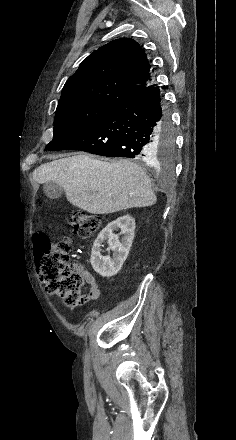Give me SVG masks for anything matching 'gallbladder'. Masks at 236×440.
Segmentation results:
<instances>
[{
  "instance_id": "obj_1",
  "label": "gallbladder",
  "mask_w": 236,
  "mask_h": 440,
  "mask_svg": "<svg viewBox=\"0 0 236 440\" xmlns=\"http://www.w3.org/2000/svg\"><path fill=\"white\" fill-rule=\"evenodd\" d=\"M43 191H44L45 195L52 200H55V199L62 197V195L64 193L63 188L60 185H58L57 183L52 182V181H49L44 184Z\"/></svg>"
}]
</instances>
